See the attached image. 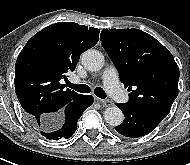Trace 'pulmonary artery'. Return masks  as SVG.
<instances>
[{
	"instance_id": "pulmonary-artery-1",
	"label": "pulmonary artery",
	"mask_w": 190,
	"mask_h": 165,
	"mask_svg": "<svg viewBox=\"0 0 190 165\" xmlns=\"http://www.w3.org/2000/svg\"><path fill=\"white\" fill-rule=\"evenodd\" d=\"M102 80L107 92L113 98L119 101L124 99V92L118 83V74L114 67H108L103 71Z\"/></svg>"
}]
</instances>
